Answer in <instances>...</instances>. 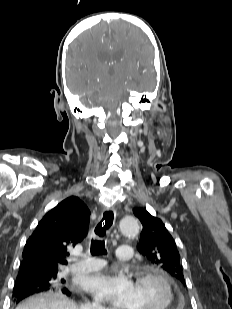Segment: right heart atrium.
Returning a JSON list of instances; mask_svg holds the SVG:
<instances>
[{"label":"right heart atrium","instance_id":"right-heart-atrium-1","mask_svg":"<svg viewBox=\"0 0 232 309\" xmlns=\"http://www.w3.org/2000/svg\"><path fill=\"white\" fill-rule=\"evenodd\" d=\"M90 309H106L104 306H102L99 302L94 301L90 305Z\"/></svg>","mask_w":232,"mask_h":309}]
</instances>
